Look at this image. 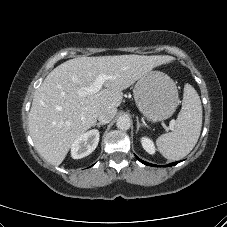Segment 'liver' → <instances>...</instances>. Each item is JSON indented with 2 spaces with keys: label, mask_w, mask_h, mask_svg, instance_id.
I'll return each instance as SVG.
<instances>
[{
  "label": "liver",
  "mask_w": 227,
  "mask_h": 227,
  "mask_svg": "<svg viewBox=\"0 0 227 227\" xmlns=\"http://www.w3.org/2000/svg\"><path fill=\"white\" fill-rule=\"evenodd\" d=\"M172 60L161 55L83 56L57 66L35 91L29 113V131L39 154L60 165L74 141L96 123L102 108L117 109L124 89ZM100 74L112 77L104 82L105 88L80 96L79 90Z\"/></svg>",
  "instance_id": "liver-1"
}]
</instances>
